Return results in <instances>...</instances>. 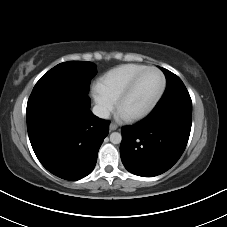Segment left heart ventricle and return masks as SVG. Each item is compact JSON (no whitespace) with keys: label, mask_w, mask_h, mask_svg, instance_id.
Listing matches in <instances>:
<instances>
[{"label":"left heart ventricle","mask_w":227,"mask_h":227,"mask_svg":"<svg viewBox=\"0 0 227 227\" xmlns=\"http://www.w3.org/2000/svg\"><path fill=\"white\" fill-rule=\"evenodd\" d=\"M162 86V77L155 70L147 71L139 80L132 94L123 105L125 113H133L147 106L158 94Z\"/></svg>","instance_id":"1"}]
</instances>
